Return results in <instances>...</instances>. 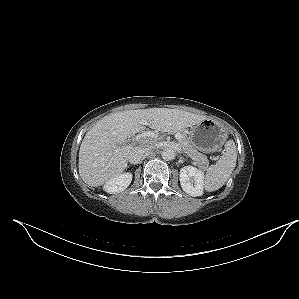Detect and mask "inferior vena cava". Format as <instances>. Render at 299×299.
I'll return each instance as SVG.
<instances>
[{"mask_svg":"<svg viewBox=\"0 0 299 299\" xmlns=\"http://www.w3.org/2000/svg\"><path fill=\"white\" fill-rule=\"evenodd\" d=\"M151 147L137 146L131 149L128 160L131 164H139L142 162L146 153L149 152Z\"/></svg>","mask_w":299,"mask_h":299,"instance_id":"inferior-vena-cava-1","label":"inferior vena cava"}]
</instances>
